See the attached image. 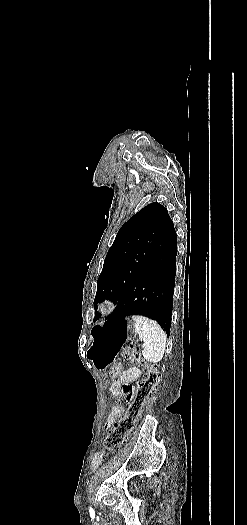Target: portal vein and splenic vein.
I'll return each instance as SVG.
<instances>
[{
	"label": "portal vein and splenic vein",
	"instance_id": "1",
	"mask_svg": "<svg viewBox=\"0 0 247 525\" xmlns=\"http://www.w3.org/2000/svg\"><path fill=\"white\" fill-rule=\"evenodd\" d=\"M146 340H143L142 346H145Z\"/></svg>",
	"mask_w": 247,
	"mask_h": 525
}]
</instances>
